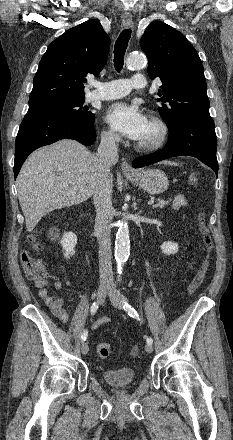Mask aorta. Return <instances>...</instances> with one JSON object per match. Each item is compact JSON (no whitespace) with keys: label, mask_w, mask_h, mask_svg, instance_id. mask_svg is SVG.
Listing matches in <instances>:
<instances>
[{"label":"aorta","mask_w":233,"mask_h":440,"mask_svg":"<svg viewBox=\"0 0 233 440\" xmlns=\"http://www.w3.org/2000/svg\"><path fill=\"white\" fill-rule=\"evenodd\" d=\"M145 65V57L141 54H132L126 60L128 69H138ZM130 254L129 226L127 221L119 222L115 241V259L118 271L121 272L122 264L128 259Z\"/></svg>","instance_id":"aorta-1"}]
</instances>
